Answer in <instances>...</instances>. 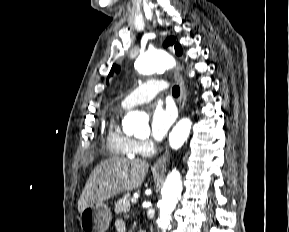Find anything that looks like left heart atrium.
I'll list each match as a JSON object with an SVG mask.
<instances>
[{"label":"left heart atrium","mask_w":289,"mask_h":232,"mask_svg":"<svg viewBox=\"0 0 289 232\" xmlns=\"http://www.w3.org/2000/svg\"><path fill=\"white\" fill-rule=\"evenodd\" d=\"M176 114L173 108L156 105L151 113V136L156 141H161L174 123Z\"/></svg>","instance_id":"1"}]
</instances>
